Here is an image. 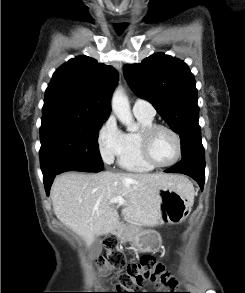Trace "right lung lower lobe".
Wrapping results in <instances>:
<instances>
[{
  "instance_id": "98d812e1",
  "label": "right lung lower lobe",
  "mask_w": 245,
  "mask_h": 293,
  "mask_svg": "<svg viewBox=\"0 0 245 293\" xmlns=\"http://www.w3.org/2000/svg\"><path fill=\"white\" fill-rule=\"evenodd\" d=\"M103 167L98 165H91L87 163H65L60 165L54 172L44 177V184L47 195H49L50 187L57 174L66 171H83V172H100Z\"/></svg>"
}]
</instances>
